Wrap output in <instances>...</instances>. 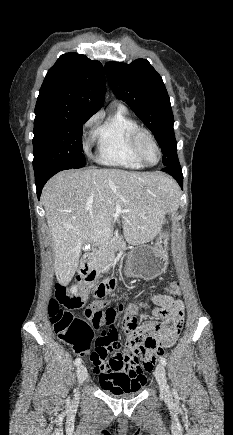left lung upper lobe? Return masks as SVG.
<instances>
[{
	"label": "left lung upper lobe",
	"instance_id": "obj_1",
	"mask_svg": "<svg viewBox=\"0 0 233 435\" xmlns=\"http://www.w3.org/2000/svg\"><path fill=\"white\" fill-rule=\"evenodd\" d=\"M105 72L116 97L125 101L154 134L163 164L169 167L179 163L170 98L161 76L145 59L129 65L107 62Z\"/></svg>",
	"mask_w": 233,
	"mask_h": 435
}]
</instances>
